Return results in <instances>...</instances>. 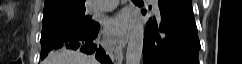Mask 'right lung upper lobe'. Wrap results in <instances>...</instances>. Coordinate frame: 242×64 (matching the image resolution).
Wrapping results in <instances>:
<instances>
[{
  "instance_id": "1",
  "label": "right lung upper lobe",
  "mask_w": 242,
  "mask_h": 64,
  "mask_svg": "<svg viewBox=\"0 0 242 64\" xmlns=\"http://www.w3.org/2000/svg\"><path fill=\"white\" fill-rule=\"evenodd\" d=\"M85 0H45L43 13L83 7Z\"/></svg>"
}]
</instances>
